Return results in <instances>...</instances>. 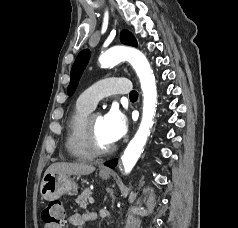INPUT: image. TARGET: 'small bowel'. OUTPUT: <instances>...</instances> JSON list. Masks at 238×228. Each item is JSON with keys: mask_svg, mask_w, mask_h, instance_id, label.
Listing matches in <instances>:
<instances>
[{"mask_svg": "<svg viewBox=\"0 0 238 228\" xmlns=\"http://www.w3.org/2000/svg\"><path fill=\"white\" fill-rule=\"evenodd\" d=\"M87 219L88 218L86 215H83L80 213H74L69 218V222L72 226L81 228ZM44 228H63V225L62 224H48V225H45Z\"/></svg>", "mask_w": 238, "mask_h": 228, "instance_id": "obj_1", "label": "small bowel"}]
</instances>
